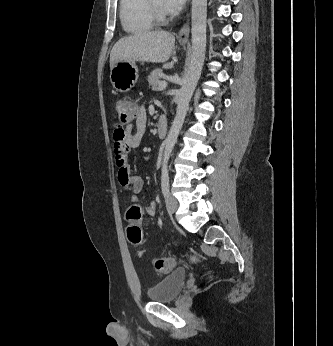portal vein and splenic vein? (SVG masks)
<instances>
[{"instance_id":"portal-vein-and-splenic-vein-1","label":"portal vein and splenic vein","mask_w":333,"mask_h":346,"mask_svg":"<svg viewBox=\"0 0 333 346\" xmlns=\"http://www.w3.org/2000/svg\"><path fill=\"white\" fill-rule=\"evenodd\" d=\"M167 87V82L165 80L161 81L159 86H158V90L161 91L163 89H165Z\"/></svg>"}]
</instances>
